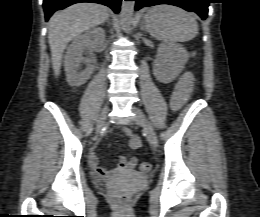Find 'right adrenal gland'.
<instances>
[{"mask_svg": "<svg viewBox=\"0 0 260 217\" xmlns=\"http://www.w3.org/2000/svg\"><path fill=\"white\" fill-rule=\"evenodd\" d=\"M106 23L110 24L109 15L107 17Z\"/></svg>", "mask_w": 260, "mask_h": 217, "instance_id": "1", "label": "right adrenal gland"}]
</instances>
